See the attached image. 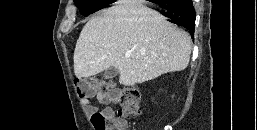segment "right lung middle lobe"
I'll use <instances>...</instances> for the list:
<instances>
[{"mask_svg":"<svg viewBox=\"0 0 257 130\" xmlns=\"http://www.w3.org/2000/svg\"><path fill=\"white\" fill-rule=\"evenodd\" d=\"M109 0H75L80 13L87 16L94 11L111 4Z\"/></svg>","mask_w":257,"mask_h":130,"instance_id":"obj_1","label":"right lung middle lobe"}]
</instances>
